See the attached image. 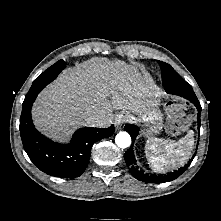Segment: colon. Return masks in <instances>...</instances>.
<instances>
[{
    "label": "colon",
    "instance_id": "5ec220e1",
    "mask_svg": "<svg viewBox=\"0 0 221 221\" xmlns=\"http://www.w3.org/2000/svg\"><path fill=\"white\" fill-rule=\"evenodd\" d=\"M186 106L181 103H174L170 109V117L167 125L169 132L173 134L179 133L187 125V119L185 117Z\"/></svg>",
    "mask_w": 221,
    "mask_h": 221
}]
</instances>
